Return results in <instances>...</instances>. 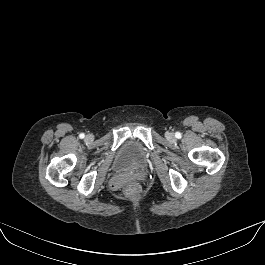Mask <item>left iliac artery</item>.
<instances>
[{"instance_id":"44dca946","label":"left iliac artery","mask_w":265,"mask_h":265,"mask_svg":"<svg viewBox=\"0 0 265 265\" xmlns=\"http://www.w3.org/2000/svg\"><path fill=\"white\" fill-rule=\"evenodd\" d=\"M177 138H181V134L180 133H176V135H175Z\"/></svg>"}]
</instances>
